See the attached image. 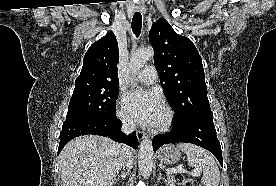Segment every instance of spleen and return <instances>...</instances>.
<instances>
[{
	"mask_svg": "<svg viewBox=\"0 0 276 186\" xmlns=\"http://www.w3.org/2000/svg\"><path fill=\"white\" fill-rule=\"evenodd\" d=\"M187 155L188 165L203 171L204 186H218L220 171L213 156L205 149L188 143H179L176 147Z\"/></svg>",
	"mask_w": 276,
	"mask_h": 186,
	"instance_id": "spleen-1",
	"label": "spleen"
}]
</instances>
